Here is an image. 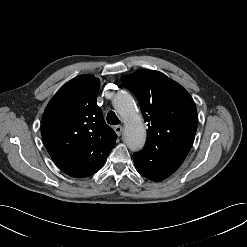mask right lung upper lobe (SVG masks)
I'll use <instances>...</instances> for the list:
<instances>
[{"instance_id":"1","label":"right lung upper lobe","mask_w":247,"mask_h":247,"mask_svg":"<svg viewBox=\"0 0 247 247\" xmlns=\"http://www.w3.org/2000/svg\"><path fill=\"white\" fill-rule=\"evenodd\" d=\"M99 79L80 75L67 82L47 105L42 138L55 164L67 175L87 177L104 164L116 143L97 105Z\"/></svg>"}]
</instances>
